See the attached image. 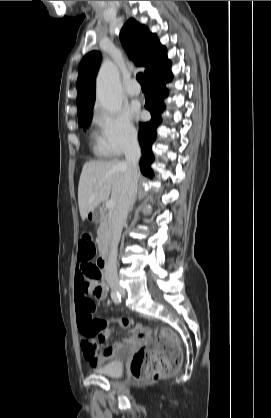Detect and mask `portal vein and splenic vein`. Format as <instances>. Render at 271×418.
Returning <instances> with one entry per match:
<instances>
[{
	"label": "portal vein and splenic vein",
	"instance_id": "portal-vein-and-splenic-vein-1",
	"mask_svg": "<svg viewBox=\"0 0 271 418\" xmlns=\"http://www.w3.org/2000/svg\"><path fill=\"white\" fill-rule=\"evenodd\" d=\"M115 205L116 201L111 199L106 203V209L111 210L115 207Z\"/></svg>",
	"mask_w": 271,
	"mask_h": 418
}]
</instances>
